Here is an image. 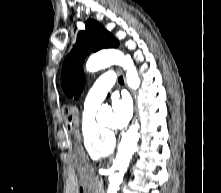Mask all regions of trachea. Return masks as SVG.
I'll return each mask as SVG.
<instances>
[{"label":"trachea","mask_w":221,"mask_h":193,"mask_svg":"<svg viewBox=\"0 0 221 193\" xmlns=\"http://www.w3.org/2000/svg\"><path fill=\"white\" fill-rule=\"evenodd\" d=\"M118 82H119L120 84H123V83H124L122 76H120V77L118 78Z\"/></svg>","instance_id":"trachea-1"}]
</instances>
